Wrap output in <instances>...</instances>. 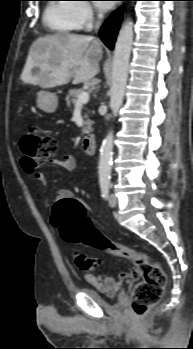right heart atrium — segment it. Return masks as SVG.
Masks as SVG:
<instances>
[{
  "instance_id": "1",
  "label": "right heart atrium",
  "mask_w": 193,
  "mask_h": 349,
  "mask_svg": "<svg viewBox=\"0 0 193 349\" xmlns=\"http://www.w3.org/2000/svg\"><path fill=\"white\" fill-rule=\"evenodd\" d=\"M73 11L78 21L79 27H86L91 24L95 18V10L91 4L85 0H76L73 5Z\"/></svg>"
}]
</instances>
